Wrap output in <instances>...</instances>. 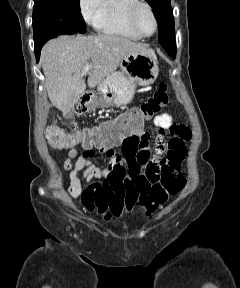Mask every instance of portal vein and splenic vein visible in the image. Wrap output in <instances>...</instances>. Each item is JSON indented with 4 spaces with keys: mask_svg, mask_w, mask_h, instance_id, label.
Here are the masks:
<instances>
[{
    "mask_svg": "<svg viewBox=\"0 0 240 288\" xmlns=\"http://www.w3.org/2000/svg\"><path fill=\"white\" fill-rule=\"evenodd\" d=\"M90 67H91V64L87 63V64L84 66V68L82 69V73H83V74H86V73L89 71Z\"/></svg>",
    "mask_w": 240,
    "mask_h": 288,
    "instance_id": "1",
    "label": "portal vein and splenic vein"
}]
</instances>
